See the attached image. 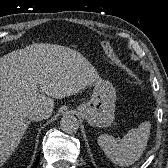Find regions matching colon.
Wrapping results in <instances>:
<instances>
[{"label":"colon","instance_id":"colon-1","mask_svg":"<svg viewBox=\"0 0 168 168\" xmlns=\"http://www.w3.org/2000/svg\"><path fill=\"white\" fill-rule=\"evenodd\" d=\"M102 48L104 53L108 56V58L117 66L124 68L120 59L118 58V56L116 55L111 43L109 41H103L102 42ZM132 79L134 80V82L138 85L141 84V81L135 77L134 75H131Z\"/></svg>","mask_w":168,"mask_h":168}]
</instances>
